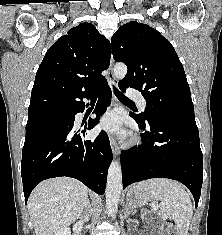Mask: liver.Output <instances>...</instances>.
Returning <instances> with one entry per match:
<instances>
[{
    "label": "liver",
    "instance_id": "obj_1",
    "mask_svg": "<svg viewBox=\"0 0 222 235\" xmlns=\"http://www.w3.org/2000/svg\"><path fill=\"white\" fill-rule=\"evenodd\" d=\"M88 188L78 180L58 177L38 184L28 199L36 235H55L75 222L87 203Z\"/></svg>",
    "mask_w": 222,
    "mask_h": 235
}]
</instances>
